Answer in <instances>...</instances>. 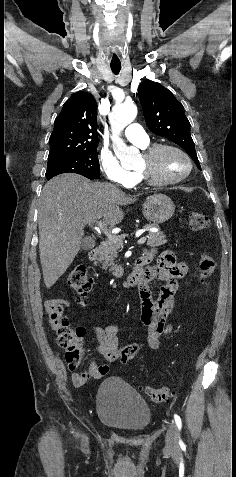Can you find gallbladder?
I'll use <instances>...</instances> for the list:
<instances>
[{"instance_id": "gallbladder-1", "label": "gallbladder", "mask_w": 236, "mask_h": 477, "mask_svg": "<svg viewBox=\"0 0 236 477\" xmlns=\"http://www.w3.org/2000/svg\"><path fill=\"white\" fill-rule=\"evenodd\" d=\"M95 245V241L92 237L90 236H87L85 238L82 239L81 241V248L83 250H90L91 248H93Z\"/></svg>"}]
</instances>
